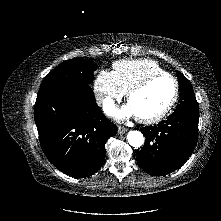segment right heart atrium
Returning a JSON list of instances; mask_svg holds the SVG:
<instances>
[{"label": "right heart atrium", "instance_id": "obj_1", "mask_svg": "<svg viewBox=\"0 0 221 221\" xmlns=\"http://www.w3.org/2000/svg\"><path fill=\"white\" fill-rule=\"evenodd\" d=\"M94 91L99 103L108 106L113 100L120 99L124 91L119 86L113 72L100 71L94 82Z\"/></svg>", "mask_w": 221, "mask_h": 221}]
</instances>
